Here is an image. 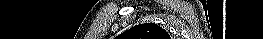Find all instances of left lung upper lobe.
<instances>
[{
	"instance_id": "obj_1",
	"label": "left lung upper lobe",
	"mask_w": 263,
	"mask_h": 39,
	"mask_svg": "<svg viewBox=\"0 0 263 39\" xmlns=\"http://www.w3.org/2000/svg\"><path fill=\"white\" fill-rule=\"evenodd\" d=\"M119 39H171V37L156 24L145 23L125 31L119 36Z\"/></svg>"
}]
</instances>
